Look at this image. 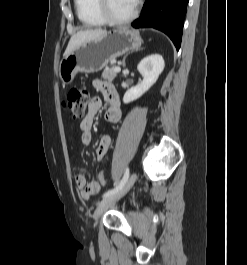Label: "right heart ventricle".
Wrapping results in <instances>:
<instances>
[{
	"label": "right heart ventricle",
	"instance_id": "1",
	"mask_svg": "<svg viewBox=\"0 0 247 265\" xmlns=\"http://www.w3.org/2000/svg\"><path fill=\"white\" fill-rule=\"evenodd\" d=\"M74 5L78 18L84 25L96 27L106 23L97 10L96 0H74Z\"/></svg>",
	"mask_w": 247,
	"mask_h": 265
}]
</instances>
